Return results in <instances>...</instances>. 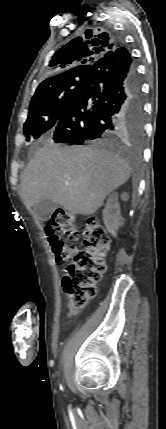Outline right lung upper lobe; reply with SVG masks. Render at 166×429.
<instances>
[{
  "label": "right lung upper lobe",
  "instance_id": "cb5924a9",
  "mask_svg": "<svg viewBox=\"0 0 166 429\" xmlns=\"http://www.w3.org/2000/svg\"><path fill=\"white\" fill-rule=\"evenodd\" d=\"M117 48L119 43L112 34L88 29L85 35L74 38L52 56L46 71L47 78L39 84L35 94L66 78L88 75L96 60Z\"/></svg>",
  "mask_w": 166,
  "mask_h": 429
}]
</instances>
